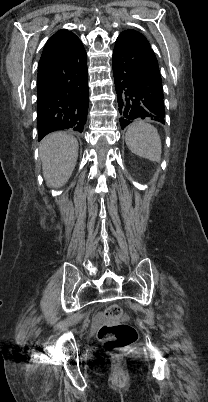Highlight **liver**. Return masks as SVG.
Here are the masks:
<instances>
[{
    "label": "liver",
    "mask_w": 208,
    "mask_h": 402,
    "mask_svg": "<svg viewBox=\"0 0 208 402\" xmlns=\"http://www.w3.org/2000/svg\"><path fill=\"white\" fill-rule=\"evenodd\" d=\"M44 180L48 188H60L68 182L78 158V142L65 132L49 134L40 144Z\"/></svg>",
    "instance_id": "6515ba94"
}]
</instances>
